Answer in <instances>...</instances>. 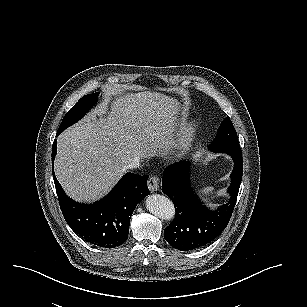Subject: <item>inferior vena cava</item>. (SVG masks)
<instances>
[{
	"label": "inferior vena cava",
	"instance_id": "602c4592",
	"mask_svg": "<svg viewBox=\"0 0 307 307\" xmlns=\"http://www.w3.org/2000/svg\"><path fill=\"white\" fill-rule=\"evenodd\" d=\"M140 167V159L138 157L134 158L131 163L127 165V169H137Z\"/></svg>",
	"mask_w": 307,
	"mask_h": 307
}]
</instances>
